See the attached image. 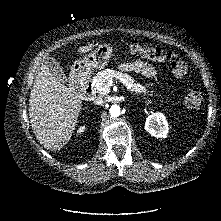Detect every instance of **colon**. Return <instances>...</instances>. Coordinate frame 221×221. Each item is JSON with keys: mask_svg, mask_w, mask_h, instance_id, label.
<instances>
[{"mask_svg": "<svg viewBox=\"0 0 221 221\" xmlns=\"http://www.w3.org/2000/svg\"><path fill=\"white\" fill-rule=\"evenodd\" d=\"M125 53L140 54L154 62L168 63L176 77H183L188 70L187 62L177 54L160 48L144 47L136 41L126 46ZM185 104L187 107L194 109L201 107L203 104L201 92L197 89H192L185 97Z\"/></svg>", "mask_w": 221, "mask_h": 221, "instance_id": "colon-1", "label": "colon"}]
</instances>
